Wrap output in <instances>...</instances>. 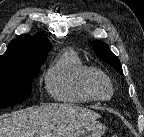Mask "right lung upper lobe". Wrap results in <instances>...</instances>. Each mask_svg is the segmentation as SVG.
Returning <instances> with one entry per match:
<instances>
[{"label": "right lung upper lobe", "instance_id": "right-lung-upper-lobe-1", "mask_svg": "<svg viewBox=\"0 0 144 137\" xmlns=\"http://www.w3.org/2000/svg\"><path fill=\"white\" fill-rule=\"evenodd\" d=\"M51 49L52 45L45 34L34 37L23 35L9 44L5 54L0 57V66L44 62Z\"/></svg>", "mask_w": 144, "mask_h": 137}]
</instances>
